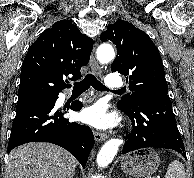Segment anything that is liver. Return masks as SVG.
<instances>
[{
	"instance_id": "1",
	"label": "liver",
	"mask_w": 194,
	"mask_h": 178,
	"mask_svg": "<svg viewBox=\"0 0 194 178\" xmlns=\"http://www.w3.org/2000/svg\"><path fill=\"white\" fill-rule=\"evenodd\" d=\"M77 164L75 157L59 146L32 142L10 152L6 178H69Z\"/></svg>"
}]
</instances>
